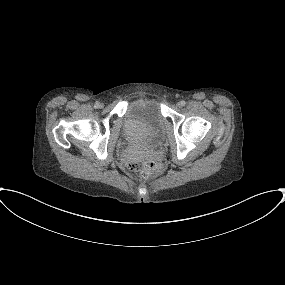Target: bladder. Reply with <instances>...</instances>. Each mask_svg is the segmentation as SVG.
Masks as SVG:
<instances>
[{"label": "bladder", "instance_id": "bladder-1", "mask_svg": "<svg viewBox=\"0 0 285 285\" xmlns=\"http://www.w3.org/2000/svg\"><path fill=\"white\" fill-rule=\"evenodd\" d=\"M165 119L159 103L151 98L132 102L123 117L121 135L127 150L138 144L150 146L151 153L166 145Z\"/></svg>", "mask_w": 285, "mask_h": 285}]
</instances>
